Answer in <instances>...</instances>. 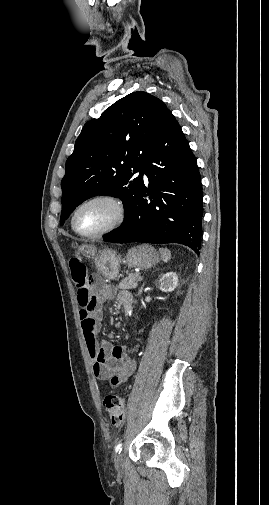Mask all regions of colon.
I'll return each instance as SVG.
<instances>
[{
    "instance_id": "5ec220e1",
    "label": "colon",
    "mask_w": 269,
    "mask_h": 505,
    "mask_svg": "<svg viewBox=\"0 0 269 505\" xmlns=\"http://www.w3.org/2000/svg\"><path fill=\"white\" fill-rule=\"evenodd\" d=\"M92 254L93 248L91 246L81 245L77 247L75 256L72 259H82L84 262L89 259ZM83 268L86 270L85 265ZM110 384L112 386H116L118 385V381L116 379H111ZM104 404L111 423L115 426L121 425L126 418V405L124 399L114 393H111L105 397Z\"/></svg>"
}]
</instances>
